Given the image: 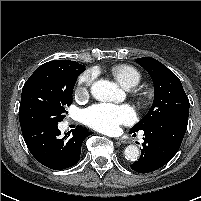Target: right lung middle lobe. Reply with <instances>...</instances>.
<instances>
[{"instance_id": "right-lung-middle-lobe-1", "label": "right lung middle lobe", "mask_w": 201, "mask_h": 201, "mask_svg": "<svg viewBox=\"0 0 201 201\" xmlns=\"http://www.w3.org/2000/svg\"><path fill=\"white\" fill-rule=\"evenodd\" d=\"M84 70V65L70 60H54L38 67L22 88L20 125L41 119L62 121L65 108L72 103L77 77Z\"/></svg>"}]
</instances>
